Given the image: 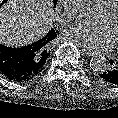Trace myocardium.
I'll list each match as a JSON object with an SVG mask.
<instances>
[{
  "instance_id": "myocardium-1",
  "label": "myocardium",
  "mask_w": 118,
  "mask_h": 118,
  "mask_svg": "<svg viewBox=\"0 0 118 118\" xmlns=\"http://www.w3.org/2000/svg\"><path fill=\"white\" fill-rule=\"evenodd\" d=\"M116 12H118V0L109 6L101 9L100 14L109 18L112 17ZM113 47L118 49V42L113 44Z\"/></svg>"
}]
</instances>
